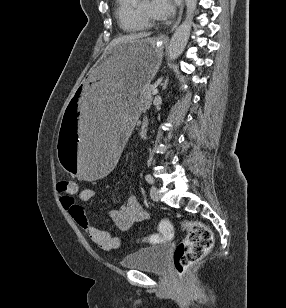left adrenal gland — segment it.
<instances>
[{
  "label": "left adrenal gland",
  "instance_id": "left-adrenal-gland-1",
  "mask_svg": "<svg viewBox=\"0 0 286 308\" xmlns=\"http://www.w3.org/2000/svg\"><path fill=\"white\" fill-rule=\"evenodd\" d=\"M168 82H169V80H168V78H167V79L164 81V83H162L163 90H165V89L167 88Z\"/></svg>",
  "mask_w": 286,
  "mask_h": 308
}]
</instances>
